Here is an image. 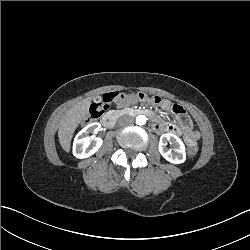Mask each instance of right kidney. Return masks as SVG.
<instances>
[{
    "label": "right kidney",
    "mask_w": 250,
    "mask_h": 250,
    "mask_svg": "<svg viewBox=\"0 0 250 250\" xmlns=\"http://www.w3.org/2000/svg\"><path fill=\"white\" fill-rule=\"evenodd\" d=\"M100 128V123H90L76 135L73 142V155L76 158H88L102 146L103 140L101 138L88 136L89 133L98 132Z\"/></svg>",
    "instance_id": "obj_1"
}]
</instances>
